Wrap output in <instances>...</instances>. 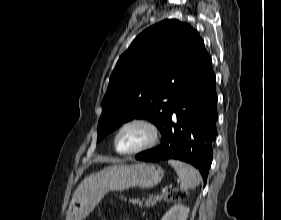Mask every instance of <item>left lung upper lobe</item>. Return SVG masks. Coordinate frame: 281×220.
I'll list each match as a JSON object with an SVG mask.
<instances>
[{"label": "left lung upper lobe", "mask_w": 281, "mask_h": 220, "mask_svg": "<svg viewBox=\"0 0 281 220\" xmlns=\"http://www.w3.org/2000/svg\"><path fill=\"white\" fill-rule=\"evenodd\" d=\"M206 52L198 32L175 19L163 20L139 34L110 77L98 142L133 118L147 119L161 130L179 84Z\"/></svg>", "instance_id": "5c2ea615"}]
</instances>
